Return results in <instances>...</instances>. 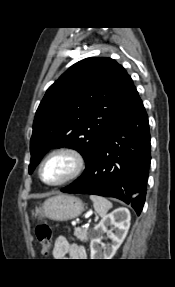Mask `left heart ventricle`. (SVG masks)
<instances>
[{
	"mask_svg": "<svg viewBox=\"0 0 175 287\" xmlns=\"http://www.w3.org/2000/svg\"><path fill=\"white\" fill-rule=\"evenodd\" d=\"M74 162L68 155H56L50 158L43 167V179L48 183L64 179L73 170Z\"/></svg>",
	"mask_w": 175,
	"mask_h": 287,
	"instance_id": "1",
	"label": "left heart ventricle"
}]
</instances>
